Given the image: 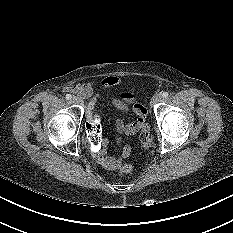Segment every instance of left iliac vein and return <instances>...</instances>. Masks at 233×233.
Masks as SVG:
<instances>
[{
  "label": "left iliac vein",
  "instance_id": "obj_1",
  "mask_svg": "<svg viewBox=\"0 0 233 233\" xmlns=\"http://www.w3.org/2000/svg\"><path fill=\"white\" fill-rule=\"evenodd\" d=\"M162 100V95L161 94H155L152 98L151 104L155 105L159 103Z\"/></svg>",
  "mask_w": 233,
  "mask_h": 233
}]
</instances>
